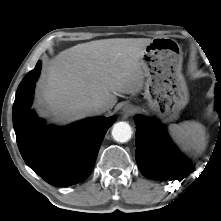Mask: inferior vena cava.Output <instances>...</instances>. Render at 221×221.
I'll use <instances>...</instances> for the list:
<instances>
[{
    "instance_id": "obj_1",
    "label": "inferior vena cava",
    "mask_w": 221,
    "mask_h": 221,
    "mask_svg": "<svg viewBox=\"0 0 221 221\" xmlns=\"http://www.w3.org/2000/svg\"><path fill=\"white\" fill-rule=\"evenodd\" d=\"M109 109V106L105 103L99 102V103H93L88 105L85 108V111L88 115L94 116V115H99L104 112H106Z\"/></svg>"
}]
</instances>
